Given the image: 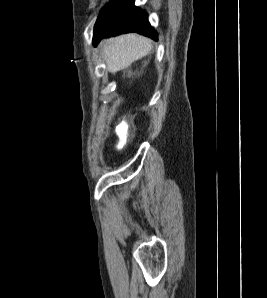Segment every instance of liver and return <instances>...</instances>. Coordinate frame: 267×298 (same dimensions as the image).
Instances as JSON below:
<instances>
[{
	"instance_id": "1",
	"label": "liver",
	"mask_w": 267,
	"mask_h": 298,
	"mask_svg": "<svg viewBox=\"0 0 267 298\" xmlns=\"http://www.w3.org/2000/svg\"><path fill=\"white\" fill-rule=\"evenodd\" d=\"M152 49L150 39L135 33L121 35L102 42V56L110 73L129 67Z\"/></svg>"
}]
</instances>
